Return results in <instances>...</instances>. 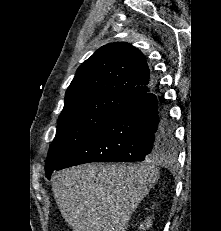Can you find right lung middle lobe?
Returning a JSON list of instances; mask_svg holds the SVG:
<instances>
[{
    "label": "right lung middle lobe",
    "instance_id": "1",
    "mask_svg": "<svg viewBox=\"0 0 221 231\" xmlns=\"http://www.w3.org/2000/svg\"><path fill=\"white\" fill-rule=\"evenodd\" d=\"M128 102L115 96H94L63 108L58 118L56 136L48 151L46 173L63 163Z\"/></svg>",
    "mask_w": 221,
    "mask_h": 231
}]
</instances>
